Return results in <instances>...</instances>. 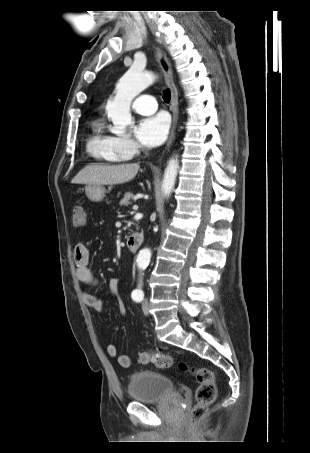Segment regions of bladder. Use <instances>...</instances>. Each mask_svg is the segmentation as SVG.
Masks as SVG:
<instances>
[{"instance_id":"bladder-1","label":"bladder","mask_w":310,"mask_h":453,"mask_svg":"<svg viewBox=\"0 0 310 453\" xmlns=\"http://www.w3.org/2000/svg\"><path fill=\"white\" fill-rule=\"evenodd\" d=\"M127 390L131 400L139 403L158 402L175 395L172 380L153 371L134 373L128 381Z\"/></svg>"}]
</instances>
